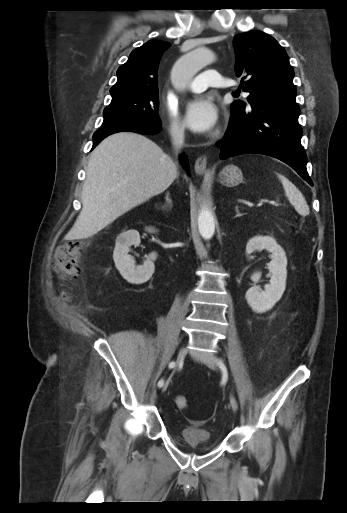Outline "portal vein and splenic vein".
Segmentation results:
<instances>
[{
  "label": "portal vein and splenic vein",
  "instance_id": "18ae733b",
  "mask_svg": "<svg viewBox=\"0 0 347 513\" xmlns=\"http://www.w3.org/2000/svg\"><path fill=\"white\" fill-rule=\"evenodd\" d=\"M269 204L275 205L276 202L275 201H269ZM258 206H261V204H258Z\"/></svg>",
  "mask_w": 347,
  "mask_h": 513
}]
</instances>
